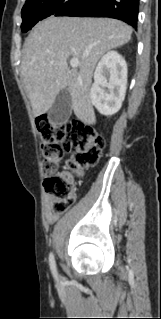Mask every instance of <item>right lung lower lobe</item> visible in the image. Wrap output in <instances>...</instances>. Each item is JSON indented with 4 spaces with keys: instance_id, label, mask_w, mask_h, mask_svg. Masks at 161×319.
Instances as JSON below:
<instances>
[{
    "instance_id": "right-lung-lower-lobe-1",
    "label": "right lung lower lobe",
    "mask_w": 161,
    "mask_h": 319,
    "mask_svg": "<svg viewBox=\"0 0 161 319\" xmlns=\"http://www.w3.org/2000/svg\"><path fill=\"white\" fill-rule=\"evenodd\" d=\"M139 0H86L66 16L110 17L137 27Z\"/></svg>"
}]
</instances>
